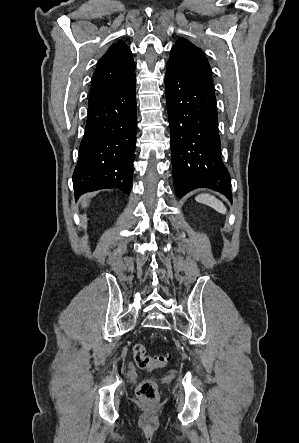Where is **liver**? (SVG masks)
<instances>
[{"mask_svg": "<svg viewBox=\"0 0 299 443\" xmlns=\"http://www.w3.org/2000/svg\"><path fill=\"white\" fill-rule=\"evenodd\" d=\"M82 206L86 207L87 206V198L84 196L82 197Z\"/></svg>", "mask_w": 299, "mask_h": 443, "instance_id": "liver-1", "label": "liver"}]
</instances>
